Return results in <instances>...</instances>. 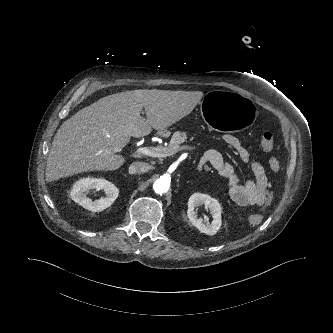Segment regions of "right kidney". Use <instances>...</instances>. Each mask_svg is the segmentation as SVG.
Listing matches in <instances>:
<instances>
[{"instance_id":"obj_1","label":"right kidney","mask_w":333,"mask_h":333,"mask_svg":"<svg viewBox=\"0 0 333 333\" xmlns=\"http://www.w3.org/2000/svg\"><path fill=\"white\" fill-rule=\"evenodd\" d=\"M104 190L106 193L105 198L92 201L86 197L89 190ZM119 189L111 182L102 178H83L77 181L71 191V198L92 212H100L109 207L118 197Z\"/></svg>"}]
</instances>
